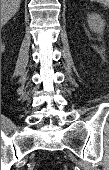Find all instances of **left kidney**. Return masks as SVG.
Here are the masks:
<instances>
[{"mask_svg":"<svg viewBox=\"0 0 109 170\" xmlns=\"http://www.w3.org/2000/svg\"><path fill=\"white\" fill-rule=\"evenodd\" d=\"M87 21L90 29H92L95 33H98L100 35L103 34L105 22L102 20L100 15L96 13L88 14Z\"/></svg>","mask_w":109,"mask_h":170,"instance_id":"obj_1","label":"left kidney"}]
</instances>
